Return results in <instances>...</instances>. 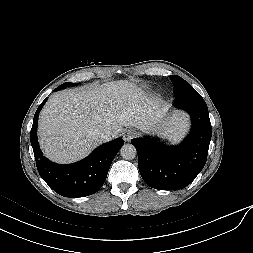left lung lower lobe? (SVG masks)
I'll return each instance as SVG.
<instances>
[{
  "mask_svg": "<svg viewBox=\"0 0 253 253\" xmlns=\"http://www.w3.org/2000/svg\"><path fill=\"white\" fill-rule=\"evenodd\" d=\"M173 105L192 118L190 134L181 144L170 147L150 138L131 140L143 180L158 190H179L196 178L206 163L212 135L208 108L198 92L175 99Z\"/></svg>",
  "mask_w": 253,
  "mask_h": 253,
  "instance_id": "0a47b994",
  "label": "left lung lower lobe"
}]
</instances>
